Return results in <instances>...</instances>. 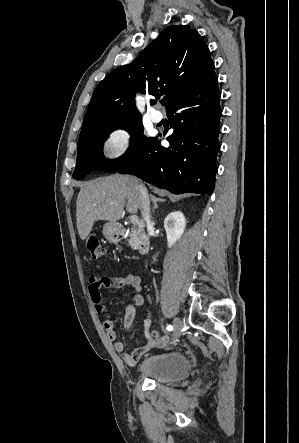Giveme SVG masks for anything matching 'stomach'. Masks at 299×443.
<instances>
[{
  "label": "stomach",
  "mask_w": 299,
  "mask_h": 443,
  "mask_svg": "<svg viewBox=\"0 0 299 443\" xmlns=\"http://www.w3.org/2000/svg\"><path fill=\"white\" fill-rule=\"evenodd\" d=\"M103 235L111 243L118 240V224L108 222L103 226Z\"/></svg>",
  "instance_id": "1"
}]
</instances>
